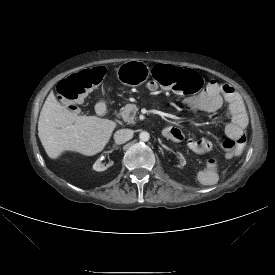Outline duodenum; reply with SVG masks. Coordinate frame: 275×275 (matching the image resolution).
Masks as SVG:
<instances>
[{
    "mask_svg": "<svg viewBox=\"0 0 275 275\" xmlns=\"http://www.w3.org/2000/svg\"><path fill=\"white\" fill-rule=\"evenodd\" d=\"M95 111L98 116H103L107 112V104L104 99H99L95 105Z\"/></svg>",
    "mask_w": 275,
    "mask_h": 275,
    "instance_id": "obj_1",
    "label": "duodenum"
}]
</instances>
